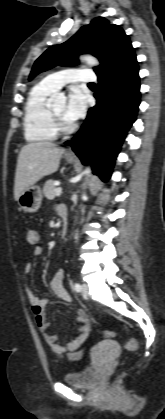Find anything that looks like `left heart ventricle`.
I'll list each match as a JSON object with an SVG mask.
<instances>
[{"mask_svg": "<svg viewBox=\"0 0 165 419\" xmlns=\"http://www.w3.org/2000/svg\"><path fill=\"white\" fill-rule=\"evenodd\" d=\"M65 104H61L55 108H53L54 112L59 115L60 117L64 118V113H65Z\"/></svg>", "mask_w": 165, "mask_h": 419, "instance_id": "1", "label": "left heart ventricle"}]
</instances>
